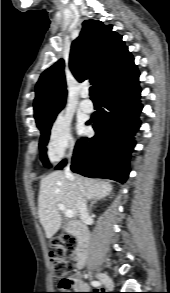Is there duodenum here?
<instances>
[{
  "mask_svg": "<svg viewBox=\"0 0 170 293\" xmlns=\"http://www.w3.org/2000/svg\"><path fill=\"white\" fill-rule=\"evenodd\" d=\"M66 232L76 236L80 243V248L77 256V266L88 258L89 242H90V231L85 228H80L76 224H70L66 227Z\"/></svg>",
  "mask_w": 170,
  "mask_h": 293,
  "instance_id": "1",
  "label": "duodenum"
}]
</instances>
